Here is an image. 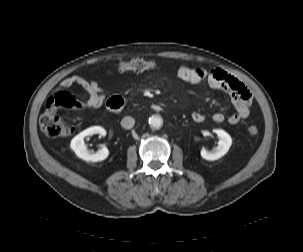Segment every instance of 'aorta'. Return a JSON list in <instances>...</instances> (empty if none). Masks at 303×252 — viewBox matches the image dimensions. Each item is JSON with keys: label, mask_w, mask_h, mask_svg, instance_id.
<instances>
[{"label": "aorta", "mask_w": 303, "mask_h": 252, "mask_svg": "<svg viewBox=\"0 0 303 252\" xmlns=\"http://www.w3.org/2000/svg\"><path fill=\"white\" fill-rule=\"evenodd\" d=\"M149 123L153 128H160L163 124L162 118L158 115H153L150 119H149Z\"/></svg>", "instance_id": "obj_1"}]
</instances>
